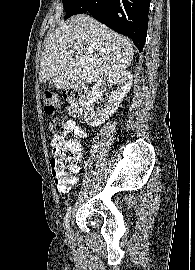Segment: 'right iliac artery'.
I'll use <instances>...</instances> for the list:
<instances>
[{"label":"right iliac artery","instance_id":"obj_1","mask_svg":"<svg viewBox=\"0 0 195 270\" xmlns=\"http://www.w3.org/2000/svg\"><path fill=\"white\" fill-rule=\"evenodd\" d=\"M70 213H71V206L67 209V213L65 216V227L66 228H68V226H69Z\"/></svg>","mask_w":195,"mask_h":270}]
</instances>
